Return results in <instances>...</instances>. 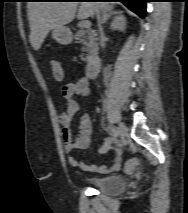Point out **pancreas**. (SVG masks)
I'll return each instance as SVG.
<instances>
[{
  "label": "pancreas",
  "mask_w": 188,
  "mask_h": 213,
  "mask_svg": "<svg viewBox=\"0 0 188 213\" xmlns=\"http://www.w3.org/2000/svg\"><path fill=\"white\" fill-rule=\"evenodd\" d=\"M75 39L80 41L83 44V52L82 60L89 61L94 55L97 54L98 51V43L96 32L91 28L88 29H80L75 34Z\"/></svg>",
  "instance_id": "pancreas-1"
}]
</instances>
